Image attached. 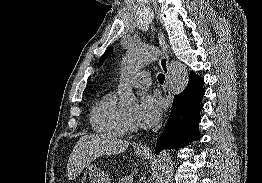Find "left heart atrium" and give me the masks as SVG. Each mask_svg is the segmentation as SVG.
<instances>
[{
  "mask_svg": "<svg viewBox=\"0 0 262 183\" xmlns=\"http://www.w3.org/2000/svg\"><path fill=\"white\" fill-rule=\"evenodd\" d=\"M161 117V105L157 97L145 94L141 97L136 123L145 129L154 127Z\"/></svg>",
  "mask_w": 262,
  "mask_h": 183,
  "instance_id": "1",
  "label": "left heart atrium"
}]
</instances>
